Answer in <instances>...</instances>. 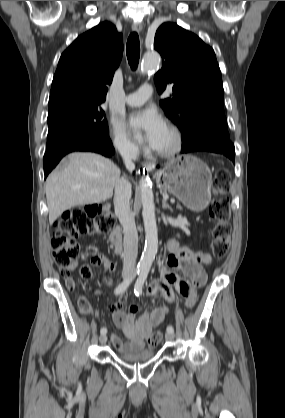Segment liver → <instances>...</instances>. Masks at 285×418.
Here are the masks:
<instances>
[{"mask_svg": "<svg viewBox=\"0 0 285 418\" xmlns=\"http://www.w3.org/2000/svg\"><path fill=\"white\" fill-rule=\"evenodd\" d=\"M64 161L65 166L54 170L45 183L50 224L72 207L110 199L120 178L116 164L95 153L73 152Z\"/></svg>", "mask_w": 285, "mask_h": 418, "instance_id": "liver-1", "label": "liver"}]
</instances>
